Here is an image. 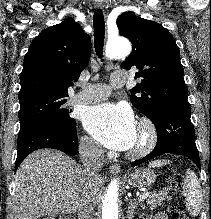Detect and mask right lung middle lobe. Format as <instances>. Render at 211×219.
I'll use <instances>...</instances> for the list:
<instances>
[{"label":"right lung middle lobe","mask_w":211,"mask_h":219,"mask_svg":"<svg viewBox=\"0 0 211 219\" xmlns=\"http://www.w3.org/2000/svg\"><path fill=\"white\" fill-rule=\"evenodd\" d=\"M65 97H38L20 102V129L40 122H54L70 127L75 119L69 116L72 110L65 107Z\"/></svg>","instance_id":"1"}]
</instances>
